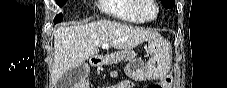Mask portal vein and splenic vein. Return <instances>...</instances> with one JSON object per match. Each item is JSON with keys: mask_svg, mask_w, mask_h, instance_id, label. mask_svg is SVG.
<instances>
[{"mask_svg": "<svg viewBox=\"0 0 227 88\" xmlns=\"http://www.w3.org/2000/svg\"><path fill=\"white\" fill-rule=\"evenodd\" d=\"M102 47L103 48H107L108 47V44L104 43V44H102Z\"/></svg>", "mask_w": 227, "mask_h": 88, "instance_id": "portal-vein-and-splenic-vein-1", "label": "portal vein and splenic vein"}]
</instances>
